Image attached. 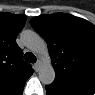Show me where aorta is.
Wrapping results in <instances>:
<instances>
[{
	"mask_svg": "<svg viewBox=\"0 0 95 95\" xmlns=\"http://www.w3.org/2000/svg\"><path fill=\"white\" fill-rule=\"evenodd\" d=\"M21 40L26 47L43 57L38 73L39 79L44 85L51 84L55 79V71L44 39L32 30H25L21 34Z\"/></svg>",
	"mask_w": 95,
	"mask_h": 95,
	"instance_id": "obj_1",
	"label": "aorta"
}]
</instances>
